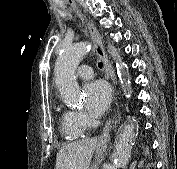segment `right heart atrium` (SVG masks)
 Masks as SVG:
<instances>
[{
	"mask_svg": "<svg viewBox=\"0 0 177 169\" xmlns=\"http://www.w3.org/2000/svg\"><path fill=\"white\" fill-rule=\"evenodd\" d=\"M73 118L77 126L87 127L91 124L90 118L81 111H73Z\"/></svg>",
	"mask_w": 177,
	"mask_h": 169,
	"instance_id": "1",
	"label": "right heart atrium"
}]
</instances>
